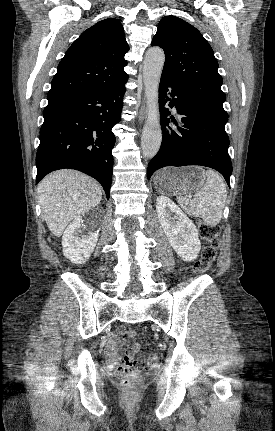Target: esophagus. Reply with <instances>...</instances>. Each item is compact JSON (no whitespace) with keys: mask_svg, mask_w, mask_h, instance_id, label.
Segmentation results:
<instances>
[{"mask_svg":"<svg viewBox=\"0 0 275 431\" xmlns=\"http://www.w3.org/2000/svg\"><path fill=\"white\" fill-rule=\"evenodd\" d=\"M146 117V106H145V101L143 102V105L140 108L139 111V123L142 124L144 119Z\"/></svg>","mask_w":275,"mask_h":431,"instance_id":"obj_1","label":"esophagus"}]
</instances>
